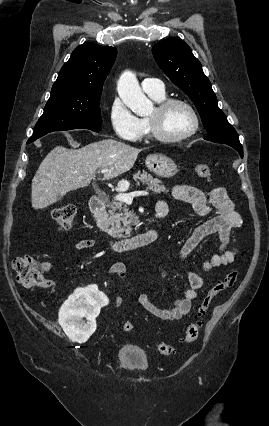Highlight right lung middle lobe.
Instances as JSON below:
<instances>
[{
    "instance_id": "obj_1",
    "label": "right lung middle lobe",
    "mask_w": 269,
    "mask_h": 426,
    "mask_svg": "<svg viewBox=\"0 0 269 426\" xmlns=\"http://www.w3.org/2000/svg\"><path fill=\"white\" fill-rule=\"evenodd\" d=\"M100 97L101 95L71 96L65 92L52 93L28 142L53 131L85 128L99 132L102 123Z\"/></svg>"
}]
</instances>
